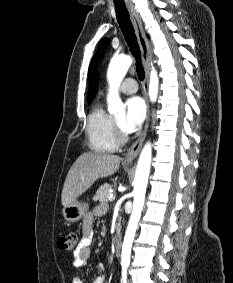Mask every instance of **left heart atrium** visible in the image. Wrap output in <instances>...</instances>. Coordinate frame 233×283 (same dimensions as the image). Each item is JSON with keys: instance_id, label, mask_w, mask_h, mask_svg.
I'll use <instances>...</instances> for the list:
<instances>
[{"instance_id": "obj_1", "label": "left heart atrium", "mask_w": 233, "mask_h": 283, "mask_svg": "<svg viewBox=\"0 0 233 283\" xmlns=\"http://www.w3.org/2000/svg\"><path fill=\"white\" fill-rule=\"evenodd\" d=\"M146 116V106L139 96L130 97L126 101V116L123 121V129L126 132H134L143 123Z\"/></svg>"}]
</instances>
